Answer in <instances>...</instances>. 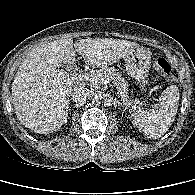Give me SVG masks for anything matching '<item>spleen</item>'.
Returning a JSON list of instances; mask_svg holds the SVG:
<instances>
[{
    "mask_svg": "<svg viewBox=\"0 0 195 195\" xmlns=\"http://www.w3.org/2000/svg\"><path fill=\"white\" fill-rule=\"evenodd\" d=\"M179 89L176 85L167 87L159 98V104L150 111L139 110L133 125L149 139H158L171 126L178 110Z\"/></svg>",
    "mask_w": 195,
    "mask_h": 195,
    "instance_id": "obj_1",
    "label": "spleen"
}]
</instances>
